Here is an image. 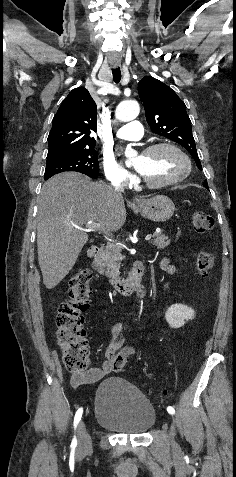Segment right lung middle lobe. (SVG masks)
Here are the masks:
<instances>
[{"mask_svg":"<svg viewBox=\"0 0 236 477\" xmlns=\"http://www.w3.org/2000/svg\"><path fill=\"white\" fill-rule=\"evenodd\" d=\"M94 147L95 145L82 148L63 157L47 160L45 180L55 174L67 171L79 172L96 179L99 174V163Z\"/></svg>","mask_w":236,"mask_h":477,"instance_id":"1","label":"right lung middle lobe"}]
</instances>
